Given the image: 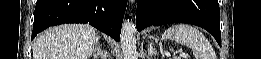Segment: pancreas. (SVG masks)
Segmentation results:
<instances>
[{
  "label": "pancreas",
  "instance_id": "obj_1",
  "mask_svg": "<svg viewBox=\"0 0 261 59\" xmlns=\"http://www.w3.org/2000/svg\"><path fill=\"white\" fill-rule=\"evenodd\" d=\"M173 59H179V57H173Z\"/></svg>",
  "mask_w": 261,
  "mask_h": 59
}]
</instances>
